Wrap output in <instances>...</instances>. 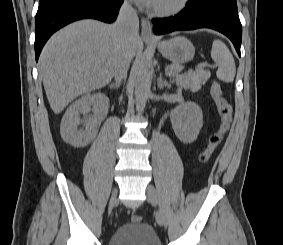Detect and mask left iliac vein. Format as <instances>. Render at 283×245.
<instances>
[{"mask_svg":"<svg viewBox=\"0 0 283 245\" xmlns=\"http://www.w3.org/2000/svg\"><path fill=\"white\" fill-rule=\"evenodd\" d=\"M146 196L150 203L159 206V218H158V224L160 226L166 227L167 226V219L164 214V211L162 207L160 206V200L159 195L155 187L151 184H149L146 188Z\"/></svg>","mask_w":283,"mask_h":245,"instance_id":"4c4485c4","label":"left iliac vein"}]
</instances>
